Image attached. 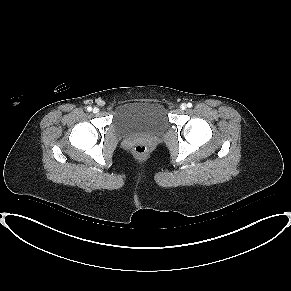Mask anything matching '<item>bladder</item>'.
Here are the masks:
<instances>
[{"instance_id":"obj_1","label":"bladder","mask_w":291,"mask_h":291,"mask_svg":"<svg viewBox=\"0 0 291 291\" xmlns=\"http://www.w3.org/2000/svg\"><path fill=\"white\" fill-rule=\"evenodd\" d=\"M169 124L167 110L158 101H132L117 107L112 125L117 134L156 133Z\"/></svg>"}]
</instances>
